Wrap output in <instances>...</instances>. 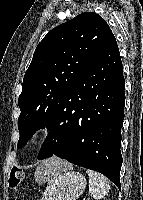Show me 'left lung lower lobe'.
Masks as SVG:
<instances>
[{"label": "left lung lower lobe", "instance_id": "0a47b994", "mask_svg": "<svg viewBox=\"0 0 143 200\" xmlns=\"http://www.w3.org/2000/svg\"><path fill=\"white\" fill-rule=\"evenodd\" d=\"M125 80L115 37L85 69L63 101L66 124L51 121L38 159L56 155L104 174L120 188Z\"/></svg>", "mask_w": 143, "mask_h": 200}]
</instances>
